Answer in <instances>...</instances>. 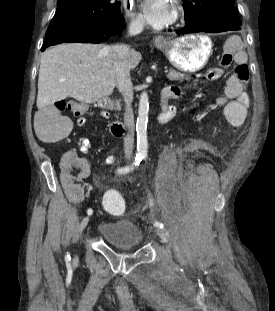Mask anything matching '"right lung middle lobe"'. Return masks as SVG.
<instances>
[{"instance_id":"obj_1","label":"right lung middle lobe","mask_w":275,"mask_h":311,"mask_svg":"<svg viewBox=\"0 0 275 311\" xmlns=\"http://www.w3.org/2000/svg\"><path fill=\"white\" fill-rule=\"evenodd\" d=\"M118 9L117 0H58L46 37L63 28L105 21L117 15Z\"/></svg>"}]
</instances>
